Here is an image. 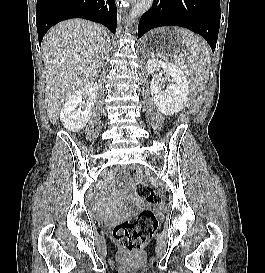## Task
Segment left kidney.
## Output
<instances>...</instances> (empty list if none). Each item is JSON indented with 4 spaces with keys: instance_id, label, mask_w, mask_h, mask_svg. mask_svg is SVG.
Here are the masks:
<instances>
[{
    "instance_id": "5707ae66",
    "label": "left kidney",
    "mask_w": 265,
    "mask_h": 273,
    "mask_svg": "<svg viewBox=\"0 0 265 273\" xmlns=\"http://www.w3.org/2000/svg\"><path fill=\"white\" fill-rule=\"evenodd\" d=\"M161 67L165 75L172 78V82L165 88L159 84V79L153 76L150 91L157 108L164 115L170 116L185 108L189 95L188 81L177 65L155 58L149 59L146 63L149 74H154Z\"/></svg>"
}]
</instances>
